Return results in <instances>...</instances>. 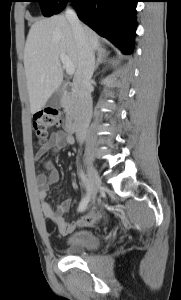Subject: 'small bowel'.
Returning a JSON list of instances; mask_svg holds the SVG:
<instances>
[{
	"label": "small bowel",
	"mask_w": 181,
	"mask_h": 300,
	"mask_svg": "<svg viewBox=\"0 0 181 300\" xmlns=\"http://www.w3.org/2000/svg\"><path fill=\"white\" fill-rule=\"evenodd\" d=\"M74 144L75 140L72 135L63 131L54 132L51 134L47 144L39 148L36 153V158H42L50 150L59 151L66 145L74 146ZM43 165L46 172L40 173L36 177V183L40 188L38 196L41 202V210L44 217L55 225L58 233L68 235L77 227H87L95 224L100 218L99 213H89L72 222L65 220L64 214L71 207V199L67 198L62 200L56 207L50 204L48 200L50 187L59 181L60 174L51 161H45Z\"/></svg>",
	"instance_id": "c3829d8e"
}]
</instances>
